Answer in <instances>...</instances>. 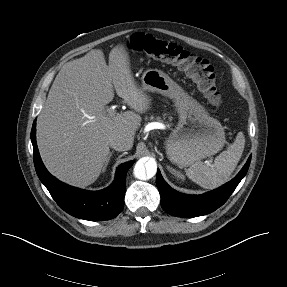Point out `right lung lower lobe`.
I'll list each match as a JSON object with an SVG mask.
<instances>
[{
	"mask_svg": "<svg viewBox=\"0 0 287 287\" xmlns=\"http://www.w3.org/2000/svg\"><path fill=\"white\" fill-rule=\"evenodd\" d=\"M36 121L31 130L33 160L37 175L53 199L68 214L90 221H104L116 217L124 207L126 174L134 161L117 168L115 180L101 191H85L64 184L53 177L44 167L35 140Z\"/></svg>",
	"mask_w": 287,
	"mask_h": 287,
	"instance_id": "1",
	"label": "right lung lower lobe"
}]
</instances>
